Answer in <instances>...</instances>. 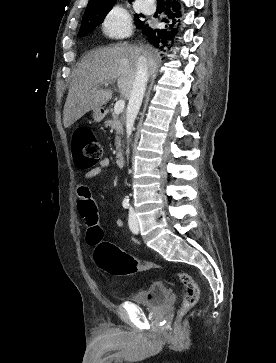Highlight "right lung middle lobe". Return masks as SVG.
<instances>
[{
  "instance_id": "dd1d6c3e",
  "label": "right lung middle lobe",
  "mask_w": 276,
  "mask_h": 363,
  "mask_svg": "<svg viewBox=\"0 0 276 363\" xmlns=\"http://www.w3.org/2000/svg\"><path fill=\"white\" fill-rule=\"evenodd\" d=\"M115 3L116 2L87 6L78 35L82 37L94 30L97 25L101 24ZM135 17L138 16L135 15ZM135 23L139 27L143 22L137 19Z\"/></svg>"
}]
</instances>
